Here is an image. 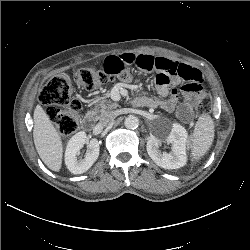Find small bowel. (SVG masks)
Returning <instances> with one entry per match:
<instances>
[{
  "label": "small bowel",
  "instance_id": "obj_1",
  "mask_svg": "<svg viewBox=\"0 0 250 250\" xmlns=\"http://www.w3.org/2000/svg\"><path fill=\"white\" fill-rule=\"evenodd\" d=\"M132 64L146 72L155 73L156 88L162 97V99L143 97L139 99L140 104L159 106L167 111L176 110L178 118L184 123L193 120V109L199 93L202 91L203 82L201 72L198 69L164 57L134 54L108 57L104 61L103 69L114 73L123 83H128L131 80V75L126 67ZM181 82H184L182 87L184 101L177 105V92L171 86Z\"/></svg>",
  "mask_w": 250,
  "mask_h": 250
}]
</instances>
